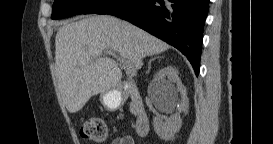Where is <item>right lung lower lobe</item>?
Listing matches in <instances>:
<instances>
[{"mask_svg": "<svg viewBox=\"0 0 273 144\" xmlns=\"http://www.w3.org/2000/svg\"><path fill=\"white\" fill-rule=\"evenodd\" d=\"M209 0H110L96 14L127 20L180 50L198 76Z\"/></svg>", "mask_w": 273, "mask_h": 144, "instance_id": "obj_1", "label": "right lung lower lobe"}]
</instances>
